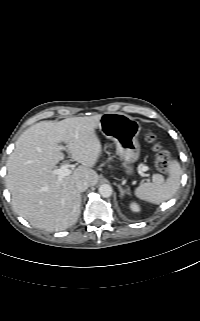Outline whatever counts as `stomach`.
I'll return each mask as SVG.
<instances>
[{
    "label": "stomach",
    "instance_id": "0dacf381",
    "mask_svg": "<svg viewBox=\"0 0 200 321\" xmlns=\"http://www.w3.org/2000/svg\"><path fill=\"white\" fill-rule=\"evenodd\" d=\"M101 133L116 144V153L123 161L124 172L133 174V163L140 154L138 135L139 123L123 113H105L101 115L98 126Z\"/></svg>",
    "mask_w": 200,
    "mask_h": 321
}]
</instances>
